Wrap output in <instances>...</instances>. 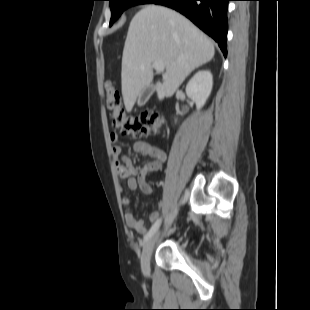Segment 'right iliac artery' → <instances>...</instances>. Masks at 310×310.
Wrapping results in <instances>:
<instances>
[{"label": "right iliac artery", "instance_id": "1", "mask_svg": "<svg viewBox=\"0 0 310 310\" xmlns=\"http://www.w3.org/2000/svg\"><path fill=\"white\" fill-rule=\"evenodd\" d=\"M188 197V193L186 192V195H185V198H184V201L187 199ZM160 223H161V219H157V221L152 225V227L150 228V230L148 231V233L144 236V239H143V242H142V245L158 230L159 226H160Z\"/></svg>", "mask_w": 310, "mask_h": 310}]
</instances>
